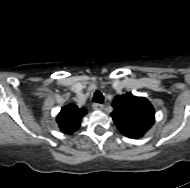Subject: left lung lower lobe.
Segmentation results:
<instances>
[{
    "mask_svg": "<svg viewBox=\"0 0 190 188\" xmlns=\"http://www.w3.org/2000/svg\"><path fill=\"white\" fill-rule=\"evenodd\" d=\"M125 136L129 137V138H140L142 136L134 134V133H125Z\"/></svg>",
    "mask_w": 190,
    "mask_h": 188,
    "instance_id": "left-lung-lower-lobe-1",
    "label": "left lung lower lobe"
}]
</instances>
